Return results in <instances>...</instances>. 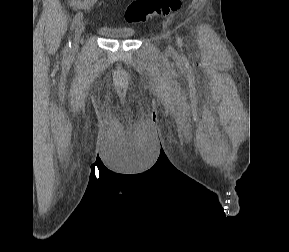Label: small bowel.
<instances>
[{"label":"small bowel","instance_id":"obj_1","mask_svg":"<svg viewBox=\"0 0 289 252\" xmlns=\"http://www.w3.org/2000/svg\"><path fill=\"white\" fill-rule=\"evenodd\" d=\"M99 0H69L72 8L77 10H88L95 5Z\"/></svg>","mask_w":289,"mask_h":252}]
</instances>
